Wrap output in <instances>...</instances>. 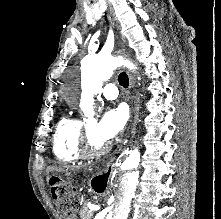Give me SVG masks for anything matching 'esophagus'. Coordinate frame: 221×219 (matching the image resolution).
<instances>
[{
  "label": "esophagus",
  "instance_id": "esophagus-1",
  "mask_svg": "<svg viewBox=\"0 0 221 219\" xmlns=\"http://www.w3.org/2000/svg\"><path fill=\"white\" fill-rule=\"evenodd\" d=\"M108 19L110 20V22L112 23V25L114 26V21L112 20V18H111V15L110 14H108ZM128 73V76H129V81H130V83H129V88L131 89V90H133L134 89V86H135V83H134V78H133V76H132V74L131 73H129V72H127ZM136 97L135 96H132L131 97V111L133 112V111H135V110H137V107H136Z\"/></svg>",
  "mask_w": 221,
  "mask_h": 219
}]
</instances>
